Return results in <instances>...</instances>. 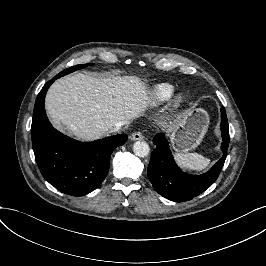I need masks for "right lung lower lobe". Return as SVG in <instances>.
<instances>
[{
    "mask_svg": "<svg viewBox=\"0 0 266 266\" xmlns=\"http://www.w3.org/2000/svg\"><path fill=\"white\" fill-rule=\"evenodd\" d=\"M61 76L48 81L38 94L34 106L31 137L37 165L52 186L71 196H83L96 188L107 176L113 150L127 141V135H115L82 143L52 127L45 108L49 86Z\"/></svg>",
    "mask_w": 266,
    "mask_h": 266,
    "instance_id": "obj_1",
    "label": "right lung lower lobe"
}]
</instances>
